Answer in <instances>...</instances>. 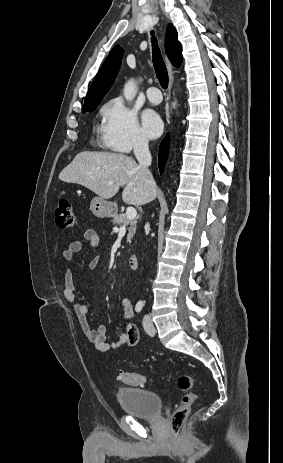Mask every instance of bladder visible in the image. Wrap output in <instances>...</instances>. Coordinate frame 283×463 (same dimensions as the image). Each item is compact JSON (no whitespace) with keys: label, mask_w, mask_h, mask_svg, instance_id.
<instances>
[{"label":"bladder","mask_w":283,"mask_h":463,"mask_svg":"<svg viewBox=\"0 0 283 463\" xmlns=\"http://www.w3.org/2000/svg\"><path fill=\"white\" fill-rule=\"evenodd\" d=\"M121 409L135 417L154 419L162 411V400L156 393L136 387L120 388L116 392Z\"/></svg>","instance_id":"31cf9c89"}]
</instances>
